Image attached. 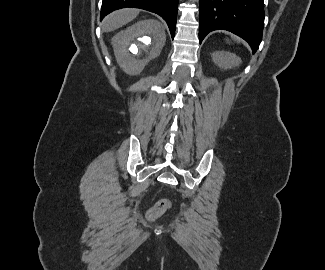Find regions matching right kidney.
<instances>
[{"instance_id":"1","label":"right kidney","mask_w":325,"mask_h":270,"mask_svg":"<svg viewBox=\"0 0 325 270\" xmlns=\"http://www.w3.org/2000/svg\"><path fill=\"white\" fill-rule=\"evenodd\" d=\"M165 40L161 23L150 19L117 33L112 38V45L119 66L127 74L137 75L160 55Z\"/></svg>"}]
</instances>
